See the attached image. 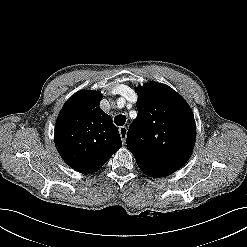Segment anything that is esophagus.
<instances>
[{
  "mask_svg": "<svg viewBox=\"0 0 247 247\" xmlns=\"http://www.w3.org/2000/svg\"><path fill=\"white\" fill-rule=\"evenodd\" d=\"M119 133H120V137H121L122 143L125 144L126 137H127V127L126 126L120 127L119 128Z\"/></svg>",
  "mask_w": 247,
  "mask_h": 247,
  "instance_id": "1",
  "label": "esophagus"
}]
</instances>
